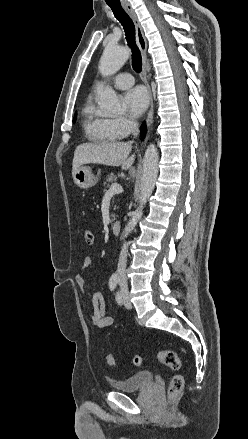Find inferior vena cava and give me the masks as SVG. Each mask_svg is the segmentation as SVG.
Here are the masks:
<instances>
[{"label":"inferior vena cava","instance_id":"602c4592","mask_svg":"<svg viewBox=\"0 0 248 439\" xmlns=\"http://www.w3.org/2000/svg\"><path fill=\"white\" fill-rule=\"evenodd\" d=\"M132 126H133V135L136 137L139 134V129H138V123L136 121L132 122ZM127 244L125 243L123 245V248L120 252V256H119V262H118V269H117V274H118V282L120 284V286L122 287H126L127 286V277H126V263H127Z\"/></svg>","mask_w":248,"mask_h":439}]
</instances>
